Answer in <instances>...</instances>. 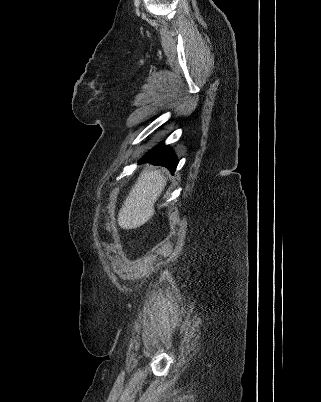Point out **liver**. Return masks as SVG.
Returning <instances> with one entry per match:
<instances>
[{
    "mask_svg": "<svg viewBox=\"0 0 321 402\" xmlns=\"http://www.w3.org/2000/svg\"><path fill=\"white\" fill-rule=\"evenodd\" d=\"M165 186L166 178L159 170H143L118 213L119 226L136 229L150 220Z\"/></svg>",
    "mask_w": 321,
    "mask_h": 402,
    "instance_id": "6515ba94",
    "label": "liver"
}]
</instances>
